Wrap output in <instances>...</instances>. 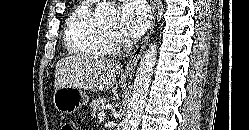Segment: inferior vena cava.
Listing matches in <instances>:
<instances>
[{
  "mask_svg": "<svg viewBox=\"0 0 249 130\" xmlns=\"http://www.w3.org/2000/svg\"><path fill=\"white\" fill-rule=\"evenodd\" d=\"M132 45H133L132 42H128V43L126 44V47L130 48V47H132Z\"/></svg>",
  "mask_w": 249,
  "mask_h": 130,
  "instance_id": "obj_1",
  "label": "inferior vena cava"
}]
</instances>
